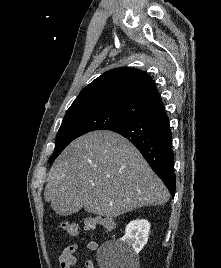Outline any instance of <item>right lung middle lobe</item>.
<instances>
[{
  "label": "right lung middle lobe",
  "instance_id": "obj_1",
  "mask_svg": "<svg viewBox=\"0 0 221 268\" xmlns=\"http://www.w3.org/2000/svg\"><path fill=\"white\" fill-rule=\"evenodd\" d=\"M126 119L114 112L90 109L66 113L56 136L55 149L49 159L54 161L63 149L77 137L94 130L109 129Z\"/></svg>",
  "mask_w": 221,
  "mask_h": 268
}]
</instances>
